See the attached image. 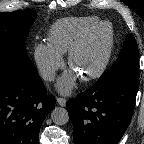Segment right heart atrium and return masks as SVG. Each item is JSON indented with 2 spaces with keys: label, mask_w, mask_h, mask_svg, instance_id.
I'll list each match as a JSON object with an SVG mask.
<instances>
[{
  "label": "right heart atrium",
  "mask_w": 144,
  "mask_h": 144,
  "mask_svg": "<svg viewBox=\"0 0 144 144\" xmlns=\"http://www.w3.org/2000/svg\"><path fill=\"white\" fill-rule=\"evenodd\" d=\"M33 58L39 73L47 81H52L57 71L64 66L63 55L49 43H37L33 49Z\"/></svg>",
  "instance_id": "1"
}]
</instances>
